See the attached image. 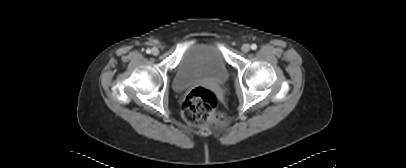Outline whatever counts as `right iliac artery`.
<instances>
[{
	"label": "right iliac artery",
	"instance_id": "obj_1",
	"mask_svg": "<svg viewBox=\"0 0 406 168\" xmlns=\"http://www.w3.org/2000/svg\"><path fill=\"white\" fill-rule=\"evenodd\" d=\"M146 53H147V54H150V53H151V50H150V49H147V50H146Z\"/></svg>",
	"mask_w": 406,
	"mask_h": 168
}]
</instances>
